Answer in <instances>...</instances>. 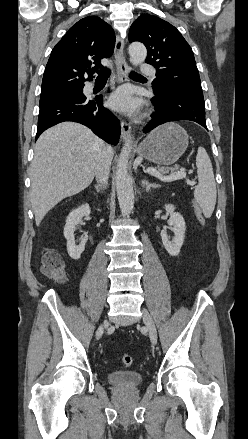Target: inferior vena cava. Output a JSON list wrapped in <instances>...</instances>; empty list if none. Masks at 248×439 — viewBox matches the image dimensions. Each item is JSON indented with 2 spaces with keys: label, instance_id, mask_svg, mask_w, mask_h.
<instances>
[{
  "label": "inferior vena cava",
  "instance_id": "1",
  "mask_svg": "<svg viewBox=\"0 0 248 439\" xmlns=\"http://www.w3.org/2000/svg\"><path fill=\"white\" fill-rule=\"evenodd\" d=\"M113 158V150L111 146H107L104 149L100 163L96 169V180L100 184L99 186H106L110 174L111 162Z\"/></svg>",
  "mask_w": 248,
  "mask_h": 439
}]
</instances>
